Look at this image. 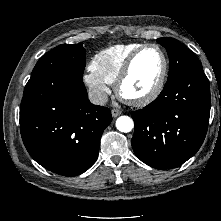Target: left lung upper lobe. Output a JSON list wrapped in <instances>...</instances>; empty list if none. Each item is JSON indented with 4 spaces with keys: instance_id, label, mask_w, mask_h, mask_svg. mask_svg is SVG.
I'll use <instances>...</instances> for the list:
<instances>
[{
    "instance_id": "5c2ea615",
    "label": "left lung upper lobe",
    "mask_w": 221,
    "mask_h": 221,
    "mask_svg": "<svg viewBox=\"0 0 221 221\" xmlns=\"http://www.w3.org/2000/svg\"><path fill=\"white\" fill-rule=\"evenodd\" d=\"M157 42L168 52L170 65L167 83L175 80L185 72L202 69L201 62L182 43L174 38H159Z\"/></svg>"
}]
</instances>
